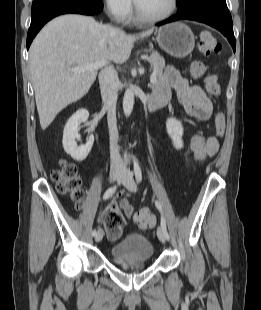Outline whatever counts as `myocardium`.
Returning <instances> with one entry per match:
<instances>
[{"mask_svg": "<svg viewBox=\"0 0 261 310\" xmlns=\"http://www.w3.org/2000/svg\"><path fill=\"white\" fill-rule=\"evenodd\" d=\"M177 7H178V0H171L170 1V7L165 13L158 15V16L150 17V16L144 15L140 11V9L138 8L137 4L135 3V15H136V18L140 22L158 23V22L164 21V20L168 19L169 17H171L175 13V11L177 10Z\"/></svg>", "mask_w": 261, "mask_h": 310, "instance_id": "1", "label": "myocardium"}]
</instances>
